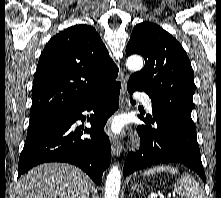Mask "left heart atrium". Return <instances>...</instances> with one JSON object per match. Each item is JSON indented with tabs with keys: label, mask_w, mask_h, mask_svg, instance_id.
Segmentation results:
<instances>
[{
	"label": "left heart atrium",
	"mask_w": 221,
	"mask_h": 198,
	"mask_svg": "<svg viewBox=\"0 0 221 198\" xmlns=\"http://www.w3.org/2000/svg\"><path fill=\"white\" fill-rule=\"evenodd\" d=\"M121 125L118 122L112 124L110 131L112 134L117 135L120 132Z\"/></svg>",
	"instance_id": "39dd6f15"
}]
</instances>
